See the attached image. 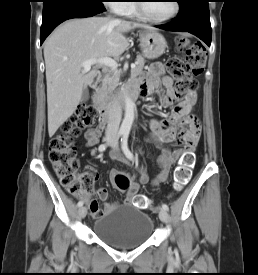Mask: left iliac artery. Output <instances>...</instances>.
<instances>
[{
	"label": "left iliac artery",
	"instance_id": "obj_1",
	"mask_svg": "<svg viewBox=\"0 0 258 275\" xmlns=\"http://www.w3.org/2000/svg\"><path fill=\"white\" fill-rule=\"evenodd\" d=\"M128 136H129V132L123 133V137L121 138L122 150L128 159L134 160V156L128 148ZM162 209L167 211L169 207L167 204H162Z\"/></svg>",
	"mask_w": 258,
	"mask_h": 275
}]
</instances>
